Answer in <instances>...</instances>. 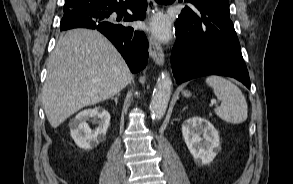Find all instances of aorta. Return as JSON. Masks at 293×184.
<instances>
[{
  "label": "aorta",
  "mask_w": 293,
  "mask_h": 184,
  "mask_svg": "<svg viewBox=\"0 0 293 184\" xmlns=\"http://www.w3.org/2000/svg\"><path fill=\"white\" fill-rule=\"evenodd\" d=\"M172 80L168 73H162L158 78L150 103V111L153 119H161L167 109L171 96Z\"/></svg>",
  "instance_id": "obj_1"
}]
</instances>
